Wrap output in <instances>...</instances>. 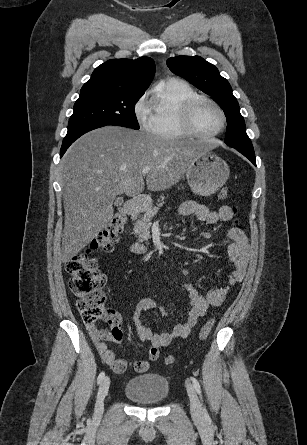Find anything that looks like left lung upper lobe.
Here are the masks:
<instances>
[{
  "label": "left lung upper lobe",
  "mask_w": 307,
  "mask_h": 445,
  "mask_svg": "<svg viewBox=\"0 0 307 445\" xmlns=\"http://www.w3.org/2000/svg\"><path fill=\"white\" fill-rule=\"evenodd\" d=\"M172 72L182 76L195 87L210 95L223 109L227 119L225 143L233 148L253 150L252 143L246 133L243 116L239 104L232 94V88L223 78L218 69L199 56H177L167 60Z\"/></svg>",
  "instance_id": "5c2ea615"
}]
</instances>
